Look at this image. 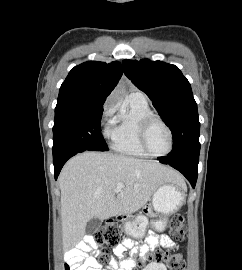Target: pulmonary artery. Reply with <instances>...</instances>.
<instances>
[{
	"mask_svg": "<svg viewBox=\"0 0 242 270\" xmlns=\"http://www.w3.org/2000/svg\"><path fill=\"white\" fill-rule=\"evenodd\" d=\"M133 94L136 95V96H138V97H140V98L146 99L145 95L142 92H140V91L135 92Z\"/></svg>",
	"mask_w": 242,
	"mask_h": 270,
	"instance_id": "1",
	"label": "pulmonary artery"
}]
</instances>
